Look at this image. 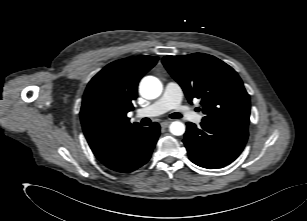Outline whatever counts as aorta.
I'll use <instances>...</instances> for the list:
<instances>
[{"mask_svg":"<svg viewBox=\"0 0 307 221\" xmlns=\"http://www.w3.org/2000/svg\"><path fill=\"white\" fill-rule=\"evenodd\" d=\"M139 92L146 99H155L162 93V84L158 78L146 76L140 83ZM169 130L173 135L180 136L185 132V125L180 121H174L170 124Z\"/></svg>","mask_w":307,"mask_h":221,"instance_id":"obj_1","label":"aorta"}]
</instances>
